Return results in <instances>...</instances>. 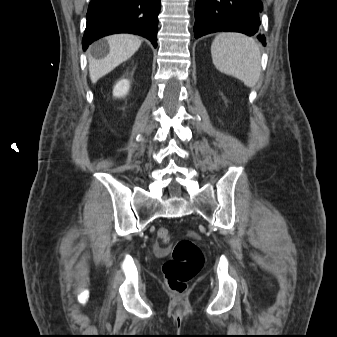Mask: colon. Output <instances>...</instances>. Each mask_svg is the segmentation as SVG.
Instances as JSON below:
<instances>
[{"mask_svg":"<svg viewBox=\"0 0 337 337\" xmlns=\"http://www.w3.org/2000/svg\"><path fill=\"white\" fill-rule=\"evenodd\" d=\"M171 235L167 229H159L155 249L163 253L168 249ZM204 264V255L190 238L179 240L173 247L171 257L163 265V273L170 290L181 293L198 274Z\"/></svg>","mask_w":337,"mask_h":337,"instance_id":"obj_1","label":"colon"}]
</instances>
